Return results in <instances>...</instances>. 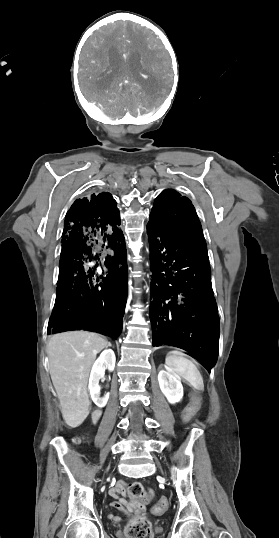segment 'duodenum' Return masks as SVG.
<instances>
[{
  "label": "duodenum",
  "mask_w": 279,
  "mask_h": 538,
  "mask_svg": "<svg viewBox=\"0 0 279 538\" xmlns=\"http://www.w3.org/2000/svg\"><path fill=\"white\" fill-rule=\"evenodd\" d=\"M101 415H102V410L95 411L94 418L92 419V422L94 424H98L100 422L99 418H101Z\"/></svg>",
  "instance_id": "410a0bca"
}]
</instances>
